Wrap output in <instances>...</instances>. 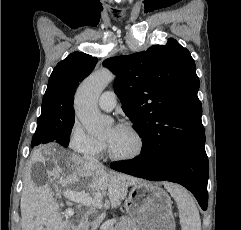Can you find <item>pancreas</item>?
Returning a JSON list of instances; mask_svg holds the SVG:
<instances>
[{"mask_svg":"<svg viewBox=\"0 0 241 230\" xmlns=\"http://www.w3.org/2000/svg\"><path fill=\"white\" fill-rule=\"evenodd\" d=\"M88 218L83 217L74 230H88L89 228ZM136 222L129 217H123L114 227H110L109 230H135Z\"/></svg>","mask_w":241,"mask_h":230,"instance_id":"1","label":"pancreas"}]
</instances>
